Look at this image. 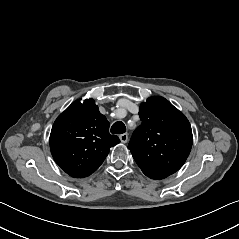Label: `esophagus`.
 <instances>
[{
    "instance_id": "1",
    "label": "esophagus",
    "mask_w": 239,
    "mask_h": 239,
    "mask_svg": "<svg viewBox=\"0 0 239 239\" xmlns=\"http://www.w3.org/2000/svg\"><path fill=\"white\" fill-rule=\"evenodd\" d=\"M119 139L121 140L122 143H126L128 141V134L123 133V134L119 135Z\"/></svg>"
}]
</instances>
